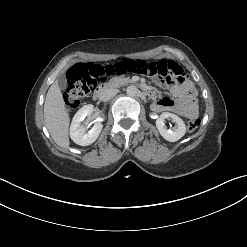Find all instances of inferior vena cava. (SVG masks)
Segmentation results:
<instances>
[{"instance_id":"inferior-vena-cava-1","label":"inferior vena cava","mask_w":247,"mask_h":247,"mask_svg":"<svg viewBox=\"0 0 247 247\" xmlns=\"http://www.w3.org/2000/svg\"><path fill=\"white\" fill-rule=\"evenodd\" d=\"M119 92L118 89L115 88H107L105 90H103L100 94V100L101 101H109L110 99H112L117 93Z\"/></svg>"}]
</instances>
